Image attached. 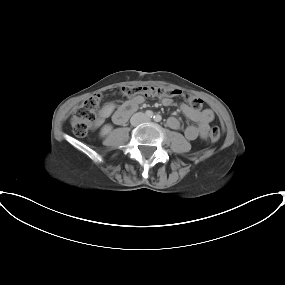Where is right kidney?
<instances>
[{
    "label": "right kidney",
    "instance_id": "1",
    "mask_svg": "<svg viewBox=\"0 0 285 285\" xmlns=\"http://www.w3.org/2000/svg\"><path fill=\"white\" fill-rule=\"evenodd\" d=\"M112 130V126L107 124V125H104L101 129V132H100V136L104 137L106 135H108Z\"/></svg>",
    "mask_w": 285,
    "mask_h": 285
}]
</instances>
